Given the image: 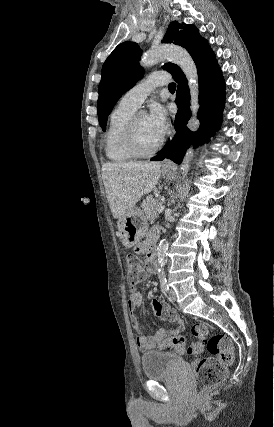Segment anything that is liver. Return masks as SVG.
<instances>
[{"label":"liver","instance_id":"obj_1","mask_svg":"<svg viewBox=\"0 0 274 427\" xmlns=\"http://www.w3.org/2000/svg\"><path fill=\"white\" fill-rule=\"evenodd\" d=\"M102 180L113 217L120 219L142 196L149 194L161 176L160 162L103 164Z\"/></svg>","mask_w":274,"mask_h":427}]
</instances>
